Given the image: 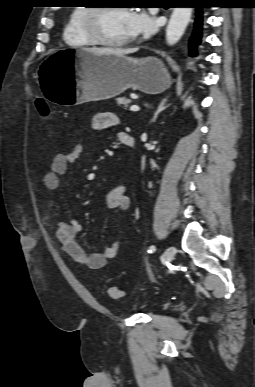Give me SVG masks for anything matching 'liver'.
<instances>
[{"instance_id": "1", "label": "liver", "mask_w": 255, "mask_h": 387, "mask_svg": "<svg viewBox=\"0 0 255 387\" xmlns=\"http://www.w3.org/2000/svg\"><path fill=\"white\" fill-rule=\"evenodd\" d=\"M86 51L95 53V54H108L115 56H125L130 53H134L137 51L135 48L130 49H121V48H86Z\"/></svg>"}]
</instances>
